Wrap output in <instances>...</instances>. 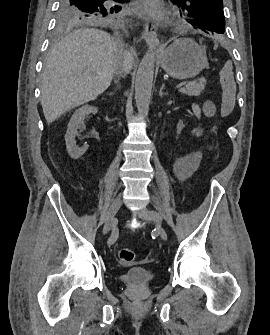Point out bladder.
I'll list each match as a JSON object with an SVG mask.
<instances>
[{
	"label": "bladder",
	"mask_w": 270,
	"mask_h": 335,
	"mask_svg": "<svg viewBox=\"0 0 270 335\" xmlns=\"http://www.w3.org/2000/svg\"><path fill=\"white\" fill-rule=\"evenodd\" d=\"M151 277V270L148 268H132L126 270L121 276L128 286H144Z\"/></svg>",
	"instance_id": "bladder-1"
}]
</instances>
